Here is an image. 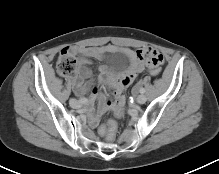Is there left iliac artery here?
Instances as JSON below:
<instances>
[{
	"instance_id": "1",
	"label": "left iliac artery",
	"mask_w": 219,
	"mask_h": 174,
	"mask_svg": "<svg viewBox=\"0 0 219 174\" xmlns=\"http://www.w3.org/2000/svg\"><path fill=\"white\" fill-rule=\"evenodd\" d=\"M139 92L143 94V93H145V89H144V88H141V89L139 90Z\"/></svg>"
}]
</instances>
